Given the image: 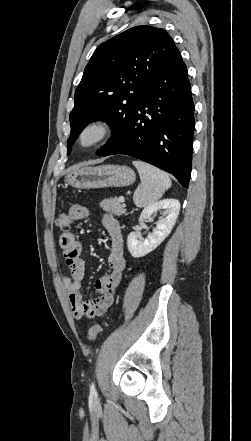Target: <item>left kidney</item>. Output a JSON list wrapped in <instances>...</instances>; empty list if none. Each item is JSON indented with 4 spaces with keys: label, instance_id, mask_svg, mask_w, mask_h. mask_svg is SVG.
<instances>
[{
    "label": "left kidney",
    "instance_id": "left-kidney-1",
    "mask_svg": "<svg viewBox=\"0 0 251 441\" xmlns=\"http://www.w3.org/2000/svg\"><path fill=\"white\" fill-rule=\"evenodd\" d=\"M163 210L164 214L156 223V228L147 238L143 239L136 232H131L127 238V247L134 258L143 257L155 250L170 234L173 229L180 211V202L177 199H164L146 206L140 217L142 223L150 219L157 211Z\"/></svg>",
    "mask_w": 251,
    "mask_h": 441
}]
</instances>
